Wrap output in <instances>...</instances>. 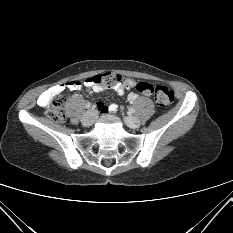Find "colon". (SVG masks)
I'll use <instances>...</instances> for the list:
<instances>
[{
    "label": "colon",
    "mask_w": 233,
    "mask_h": 233,
    "mask_svg": "<svg viewBox=\"0 0 233 233\" xmlns=\"http://www.w3.org/2000/svg\"><path fill=\"white\" fill-rule=\"evenodd\" d=\"M88 79L92 80V85H98L108 88L125 82L122 80L120 75L113 72H106L94 75ZM135 88L138 92L144 95L152 96L155 100L156 105L161 109L167 108L173 103V91L166 86H153L152 84L147 82H139L135 85ZM63 100L64 96L62 92L55 94L51 98L50 103L45 111V115L47 118L55 122H61L64 120V113L61 108Z\"/></svg>",
    "instance_id": "5ec220e1"
}]
</instances>
